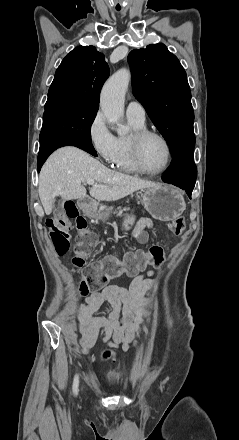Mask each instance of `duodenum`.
I'll return each instance as SVG.
<instances>
[{
  "label": "duodenum",
  "instance_id": "obj_1",
  "mask_svg": "<svg viewBox=\"0 0 239 440\" xmlns=\"http://www.w3.org/2000/svg\"><path fill=\"white\" fill-rule=\"evenodd\" d=\"M79 203H80V207H81L82 210L86 211V210L89 209V206H90L89 198L83 197V198L80 199Z\"/></svg>",
  "mask_w": 239,
  "mask_h": 440
}]
</instances>
